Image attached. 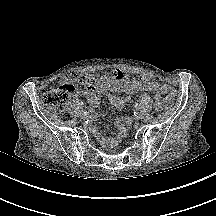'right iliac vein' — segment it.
Wrapping results in <instances>:
<instances>
[{"label": "right iliac vein", "instance_id": "right-iliac-vein-1", "mask_svg": "<svg viewBox=\"0 0 216 216\" xmlns=\"http://www.w3.org/2000/svg\"><path fill=\"white\" fill-rule=\"evenodd\" d=\"M88 119V116L86 115V114H83L82 116H81V120L82 121H86Z\"/></svg>", "mask_w": 216, "mask_h": 216}]
</instances>
